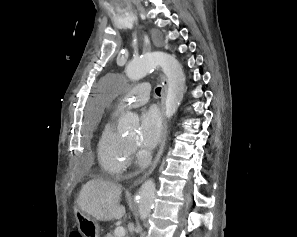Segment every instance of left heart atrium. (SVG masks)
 Listing matches in <instances>:
<instances>
[{
    "label": "left heart atrium",
    "instance_id": "39dd6f15",
    "mask_svg": "<svg viewBox=\"0 0 297 237\" xmlns=\"http://www.w3.org/2000/svg\"><path fill=\"white\" fill-rule=\"evenodd\" d=\"M163 120L156 107H149L141 113L139 144L144 148H153L161 140Z\"/></svg>",
    "mask_w": 297,
    "mask_h": 237
}]
</instances>
